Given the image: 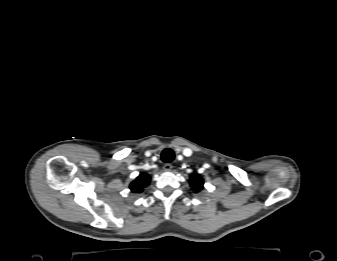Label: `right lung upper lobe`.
<instances>
[{"instance_id": "right-lung-upper-lobe-1", "label": "right lung upper lobe", "mask_w": 337, "mask_h": 261, "mask_svg": "<svg viewBox=\"0 0 337 261\" xmlns=\"http://www.w3.org/2000/svg\"><path fill=\"white\" fill-rule=\"evenodd\" d=\"M149 183L150 177L145 174H141L130 184V189L134 193H141L144 188L149 185Z\"/></svg>"}]
</instances>
